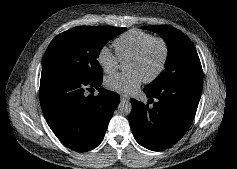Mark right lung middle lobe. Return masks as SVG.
I'll list each match as a JSON object with an SVG mask.
<instances>
[{
    "instance_id": "right-lung-middle-lobe-1",
    "label": "right lung middle lobe",
    "mask_w": 237,
    "mask_h": 169,
    "mask_svg": "<svg viewBox=\"0 0 237 169\" xmlns=\"http://www.w3.org/2000/svg\"><path fill=\"white\" fill-rule=\"evenodd\" d=\"M126 28L78 26L57 35L49 44L42 74H58L84 80L102 77L97 57L103 46Z\"/></svg>"
}]
</instances>
